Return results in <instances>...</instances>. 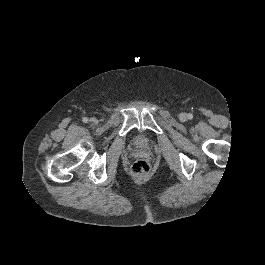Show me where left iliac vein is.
Returning <instances> with one entry per match:
<instances>
[{
    "label": "left iliac vein",
    "mask_w": 265,
    "mask_h": 265,
    "mask_svg": "<svg viewBox=\"0 0 265 265\" xmlns=\"http://www.w3.org/2000/svg\"><path fill=\"white\" fill-rule=\"evenodd\" d=\"M179 118H180L181 121H184V120H186L187 116H186L185 113H181V114L179 115Z\"/></svg>",
    "instance_id": "obj_1"
}]
</instances>
